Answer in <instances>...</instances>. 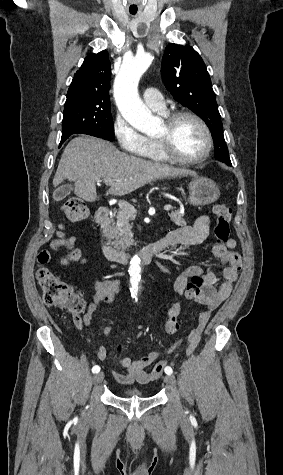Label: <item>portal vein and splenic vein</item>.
Segmentation results:
<instances>
[{"label": "portal vein and splenic vein", "instance_id": "portal-vein-and-splenic-vein-1", "mask_svg": "<svg viewBox=\"0 0 283 475\" xmlns=\"http://www.w3.org/2000/svg\"><path fill=\"white\" fill-rule=\"evenodd\" d=\"M103 182L105 186H113L116 180H111V178H104ZM119 206L120 208H122V210H130L132 214H136L135 208H133V206H130V204H124V202H119ZM171 208L172 206H164V210H171Z\"/></svg>", "mask_w": 283, "mask_h": 475}]
</instances>
